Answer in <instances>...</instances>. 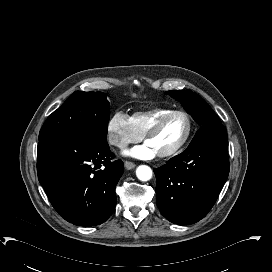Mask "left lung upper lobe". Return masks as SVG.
<instances>
[{
    "instance_id": "1",
    "label": "left lung upper lobe",
    "mask_w": 272,
    "mask_h": 272,
    "mask_svg": "<svg viewBox=\"0 0 272 272\" xmlns=\"http://www.w3.org/2000/svg\"><path fill=\"white\" fill-rule=\"evenodd\" d=\"M171 97L180 101L193 119L202 125L221 124L219 117L198 94L190 90L168 91Z\"/></svg>"
}]
</instances>
